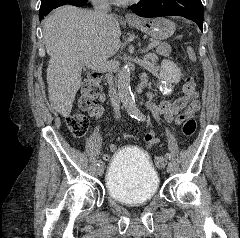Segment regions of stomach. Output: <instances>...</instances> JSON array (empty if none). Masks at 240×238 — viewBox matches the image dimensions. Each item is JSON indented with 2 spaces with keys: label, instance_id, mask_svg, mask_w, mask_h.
<instances>
[{
  "label": "stomach",
  "instance_id": "stomach-1",
  "mask_svg": "<svg viewBox=\"0 0 240 238\" xmlns=\"http://www.w3.org/2000/svg\"><path fill=\"white\" fill-rule=\"evenodd\" d=\"M129 24L156 40L169 38L176 29L175 23L166 18L140 19L138 23Z\"/></svg>",
  "mask_w": 240,
  "mask_h": 238
}]
</instances>
